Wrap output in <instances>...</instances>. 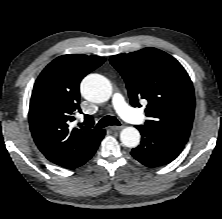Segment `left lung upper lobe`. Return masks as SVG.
<instances>
[{
	"label": "left lung upper lobe",
	"mask_w": 222,
	"mask_h": 219,
	"mask_svg": "<svg viewBox=\"0 0 222 219\" xmlns=\"http://www.w3.org/2000/svg\"><path fill=\"white\" fill-rule=\"evenodd\" d=\"M110 63L125 80L131 104L140 107V99L148 101L145 126L186 143L193 123L195 95L182 65L156 48L115 55Z\"/></svg>",
	"instance_id": "obj_1"
}]
</instances>
